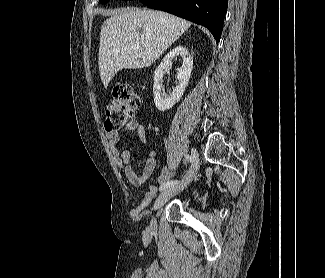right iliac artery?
Listing matches in <instances>:
<instances>
[{"instance_id": "1", "label": "right iliac artery", "mask_w": 325, "mask_h": 278, "mask_svg": "<svg viewBox=\"0 0 325 278\" xmlns=\"http://www.w3.org/2000/svg\"><path fill=\"white\" fill-rule=\"evenodd\" d=\"M185 159L188 161V162H193V158H192V156H190L189 154H185ZM178 183V180H171V181H168L167 183H165V184H163V185H161V187H160V191H162V190H164V189H166V188H168V187H170V186H173V185H175V184H177Z\"/></svg>"}]
</instances>
